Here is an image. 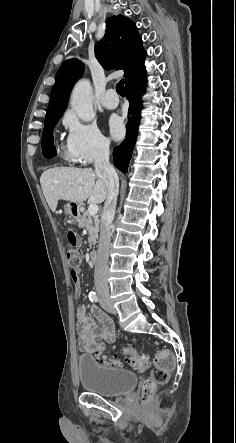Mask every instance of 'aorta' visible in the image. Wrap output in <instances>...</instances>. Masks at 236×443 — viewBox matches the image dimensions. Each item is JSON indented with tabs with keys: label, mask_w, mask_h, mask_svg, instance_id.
Here are the masks:
<instances>
[{
	"label": "aorta",
	"mask_w": 236,
	"mask_h": 443,
	"mask_svg": "<svg viewBox=\"0 0 236 443\" xmlns=\"http://www.w3.org/2000/svg\"><path fill=\"white\" fill-rule=\"evenodd\" d=\"M70 103L72 109L82 121L90 122L94 119L92 87L89 80L82 79L74 86Z\"/></svg>",
	"instance_id": "aorta-1"
}]
</instances>
